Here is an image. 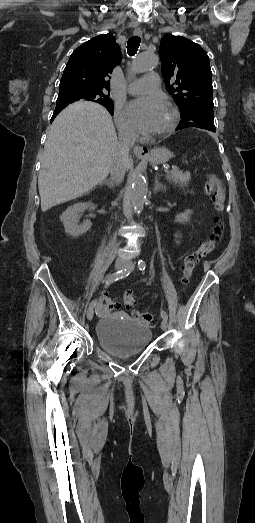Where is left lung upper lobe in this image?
Wrapping results in <instances>:
<instances>
[{
	"label": "left lung upper lobe",
	"instance_id": "obj_1",
	"mask_svg": "<svg viewBox=\"0 0 255 523\" xmlns=\"http://www.w3.org/2000/svg\"><path fill=\"white\" fill-rule=\"evenodd\" d=\"M159 56L167 91L182 113L183 124L176 130L193 125L215 132L212 72L205 50L182 36L166 34Z\"/></svg>",
	"mask_w": 255,
	"mask_h": 523
}]
</instances>
